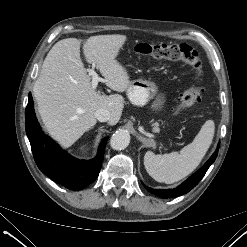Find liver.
<instances>
[{"label":"liver","instance_id":"6515ba94","mask_svg":"<svg viewBox=\"0 0 247 247\" xmlns=\"http://www.w3.org/2000/svg\"><path fill=\"white\" fill-rule=\"evenodd\" d=\"M125 35H97L83 44V54L96 66L105 84L116 92L130 85L126 69L116 60L126 42ZM81 40L58 41L47 54L33 94L48 133L61 146L69 147L96 124L95 112L107 109L110 125L120 120L124 98L120 94L101 95L91 85V77L80 57Z\"/></svg>","mask_w":247,"mask_h":247}]
</instances>
